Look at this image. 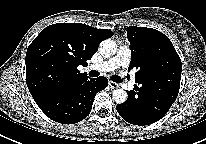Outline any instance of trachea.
Listing matches in <instances>:
<instances>
[{
  "label": "trachea",
  "mask_w": 206,
  "mask_h": 144,
  "mask_svg": "<svg viewBox=\"0 0 206 144\" xmlns=\"http://www.w3.org/2000/svg\"><path fill=\"white\" fill-rule=\"evenodd\" d=\"M89 76H90V77H97V76H99V72L96 71V70H91V71L89 72ZM113 78H114V80H116L115 77H113Z\"/></svg>",
  "instance_id": "1"
}]
</instances>
